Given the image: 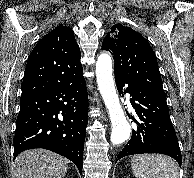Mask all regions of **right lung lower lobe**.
<instances>
[{
  "label": "right lung lower lobe",
  "mask_w": 194,
  "mask_h": 178,
  "mask_svg": "<svg viewBox=\"0 0 194 178\" xmlns=\"http://www.w3.org/2000/svg\"><path fill=\"white\" fill-rule=\"evenodd\" d=\"M88 96L84 77L75 83L22 96L14 135V158L44 148L70 159L82 172Z\"/></svg>",
  "instance_id": "1"
}]
</instances>
